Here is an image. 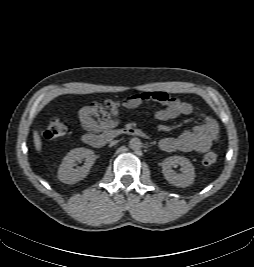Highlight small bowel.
<instances>
[{
	"instance_id": "1",
	"label": "small bowel",
	"mask_w": 254,
	"mask_h": 267,
	"mask_svg": "<svg viewBox=\"0 0 254 267\" xmlns=\"http://www.w3.org/2000/svg\"><path fill=\"white\" fill-rule=\"evenodd\" d=\"M149 102H157L163 106L155 112V118L160 121L179 116L201 119V123L192 130L185 131L177 137L161 139L159 146L163 151L204 154L217 140L218 124L211 116L163 91H144L132 94L122 101L106 100L103 103L84 106L78 111L79 122L88 132L98 133L117 125L121 109H137Z\"/></svg>"
}]
</instances>
